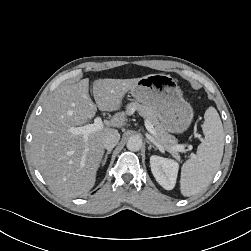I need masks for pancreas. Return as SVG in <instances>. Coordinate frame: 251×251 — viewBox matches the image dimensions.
<instances>
[{"instance_id": "obj_1", "label": "pancreas", "mask_w": 251, "mask_h": 251, "mask_svg": "<svg viewBox=\"0 0 251 251\" xmlns=\"http://www.w3.org/2000/svg\"><path fill=\"white\" fill-rule=\"evenodd\" d=\"M134 111H138L141 116L145 118V120L149 121L156 135L154 136L155 140L168 152L172 154L173 157L179 159L178 151L173 150V147L178 145L176 138L169 133L167 129L163 127L161 124L158 113L152 107L147 105L139 104V103H130L127 105L126 113L132 114Z\"/></svg>"}]
</instances>
